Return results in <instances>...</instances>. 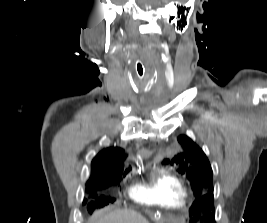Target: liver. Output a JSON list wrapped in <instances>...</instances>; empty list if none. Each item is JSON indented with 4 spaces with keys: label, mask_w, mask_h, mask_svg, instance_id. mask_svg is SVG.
Here are the masks:
<instances>
[{
    "label": "liver",
    "mask_w": 267,
    "mask_h": 223,
    "mask_svg": "<svg viewBox=\"0 0 267 223\" xmlns=\"http://www.w3.org/2000/svg\"><path fill=\"white\" fill-rule=\"evenodd\" d=\"M88 223H149L141 214L128 209L115 210L109 213H97Z\"/></svg>",
    "instance_id": "1"
}]
</instances>
